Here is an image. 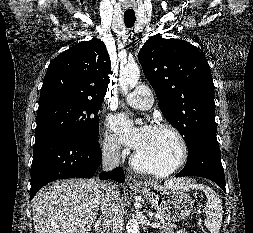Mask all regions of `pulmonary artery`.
Returning <instances> with one entry per match:
<instances>
[{
    "instance_id": "pulmonary-artery-1",
    "label": "pulmonary artery",
    "mask_w": 253,
    "mask_h": 233,
    "mask_svg": "<svg viewBox=\"0 0 253 233\" xmlns=\"http://www.w3.org/2000/svg\"><path fill=\"white\" fill-rule=\"evenodd\" d=\"M125 102L136 109L147 110L152 107L154 97L149 87L141 85L125 97Z\"/></svg>"
}]
</instances>
